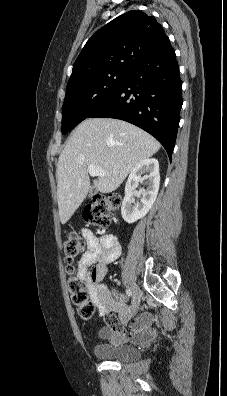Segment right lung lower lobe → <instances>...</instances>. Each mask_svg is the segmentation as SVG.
I'll return each mask as SVG.
<instances>
[{"label": "right lung lower lobe", "instance_id": "98d812e1", "mask_svg": "<svg viewBox=\"0 0 227 396\" xmlns=\"http://www.w3.org/2000/svg\"><path fill=\"white\" fill-rule=\"evenodd\" d=\"M182 82L171 44L144 58L120 89L87 118H115L154 136L171 159L182 107Z\"/></svg>", "mask_w": 227, "mask_h": 396}]
</instances>
